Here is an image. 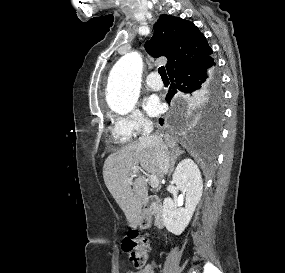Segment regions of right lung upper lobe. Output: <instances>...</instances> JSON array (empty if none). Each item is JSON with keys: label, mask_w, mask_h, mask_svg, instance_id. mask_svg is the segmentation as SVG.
Instances as JSON below:
<instances>
[{"label": "right lung upper lobe", "mask_w": 285, "mask_h": 273, "mask_svg": "<svg viewBox=\"0 0 285 273\" xmlns=\"http://www.w3.org/2000/svg\"><path fill=\"white\" fill-rule=\"evenodd\" d=\"M153 57L165 56L167 73L195 59L212 53L205 36L191 22L161 15L152 39L145 44Z\"/></svg>", "instance_id": "1"}]
</instances>
